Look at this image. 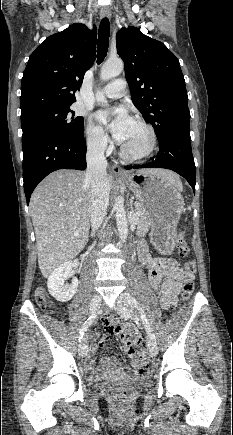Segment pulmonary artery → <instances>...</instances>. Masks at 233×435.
Returning <instances> with one entry per match:
<instances>
[{"label":"pulmonary artery","mask_w":233,"mask_h":435,"mask_svg":"<svg viewBox=\"0 0 233 435\" xmlns=\"http://www.w3.org/2000/svg\"><path fill=\"white\" fill-rule=\"evenodd\" d=\"M126 89V82L124 79H116L102 89V94L104 97L109 99L120 98Z\"/></svg>","instance_id":"1"}]
</instances>
